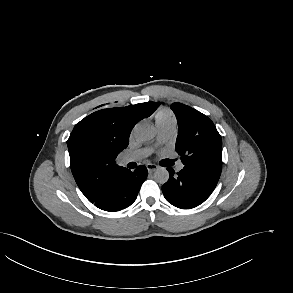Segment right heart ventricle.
Returning a JSON list of instances; mask_svg holds the SVG:
<instances>
[{
    "instance_id": "right-heart-ventricle-1",
    "label": "right heart ventricle",
    "mask_w": 293,
    "mask_h": 293,
    "mask_svg": "<svg viewBox=\"0 0 293 293\" xmlns=\"http://www.w3.org/2000/svg\"><path fill=\"white\" fill-rule=\"evenodd\" d=\"M156 127H176V118L174 114L166 108L160 109L155 113Z\"/></svg>"
}]
</instances>
